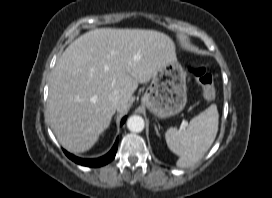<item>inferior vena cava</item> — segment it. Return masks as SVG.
<instances>
[{"instance_id": "602c4592", "label": "inferior vena cava", "mask_w": 272, "mask_h": 198, "mask_svg": "<svg viewBox=\"0 0 272 198\" xmlns=\"http://www.w3.org/2000/svg\"><path fill=\"white\" fill-rule=\"evenodd\" d=\"M120 94L118 91H113L110 95H109V100L116 106L119 104L120 102Z\"/></svg>"}]
</instances>
